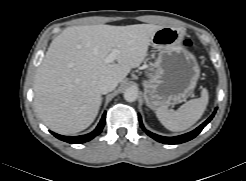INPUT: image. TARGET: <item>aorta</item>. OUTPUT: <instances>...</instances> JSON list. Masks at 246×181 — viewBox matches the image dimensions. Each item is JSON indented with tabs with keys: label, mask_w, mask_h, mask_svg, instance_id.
I'll return each instance as SVG.
<instances>
[{
	"label": "aorta",
	"mask_w": 246,
	"mask_h": 181,
	"mask_svg": "<svg viewBox=\"0 0 246 181\" xmlns=\"http://www.w3.org/2000/svg\"><path fill=\"white\" fill-rule=\"evenodd\" d=\"M138 98V90L134 87H129L124 91V99L127 102H134Z\"/></svg>",
	"instance_id": "aorta-1"
}]
</instances>
